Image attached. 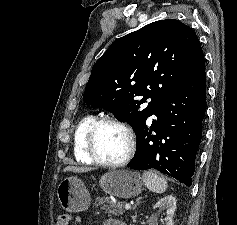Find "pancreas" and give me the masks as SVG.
I'll use <instances>...</instances> for the list:
<instances>
[{
  "mask_svg": "<svg viewBox=\"0 0 237 225\" xmlns=\"http://www.w3.org/2000/svg\"><path fill=\"white\" fill-rule=\"evenodd\" d=\"M96 206H100L102 210H105L108 214L120 216L124 213V203H114L108 197H98L95 202Z\"/></svg>",
  "mask_w": 237,
  "mask_h": 225,
  "instance_id": "obj_1",
  "label": "pancreas"
}]
</instances>
